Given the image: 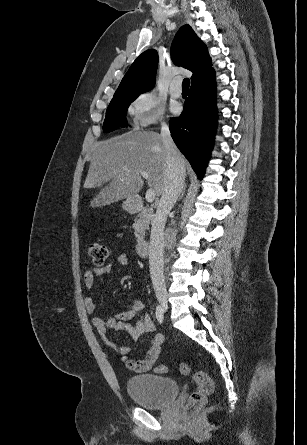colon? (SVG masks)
Wrapping results in <instances>:
<instances>
[{
  "label": "colon",
  "instance_id": "5ec220e1",
  "mask_svg": "<svg viewBox=\"0 0 307 445\" xmlns=\"http://www.w3.org/2000/svg\"><path fill=\"white\" fill-rule=\"evenodd\" d=\"M89 256L94 265L103 266L109 257V247L101 243H92L88 247ZM168 368L165 365H158L155 368L157 373H165ZM178 370L182 375H188L192 372L191 366L183 362L179 364ZM193 379L197 383V389L192 393L189 399V406L191 408L200 407L205 404L208 397L214 391V382L211 377L202 370H197L192 374Z\"/></svg>",
  "mask_w": 307,
  "mask_h": 445
}]
</instances>
